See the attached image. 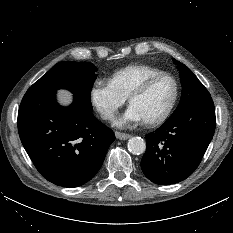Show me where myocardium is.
I'll return each mask as SVG.
<instances>
[{
  "mask_svg": "<svg viewBox=\"0 0 233 233\" xmlns=\"http://www.w3.org/2000/svg\"><path fill=\"white\" fill-rule=\"evenodd\" d=\"M161 78H170L172 80V82L174 84V95H173V98H172L169 106L163 112V114H161L159 117H157L155 119L145 121V123L148 126L160 125V124L164 123L170 117V115L172 114V112H173V110H174V108H175V106L177 104L179 94H180V86H179L178 80L171 73L161 72V73H158V74H155V75H152V76L146 78L128 96V102L131 105L132 101L135 98L140 97L143 94H145L151 88V86Z\"/></svg>",
  "mask_w": 233,
  "mask_h": 233,
  "instance_id": "obj_1",
  "label": "myocardium"
}]
</instances>
